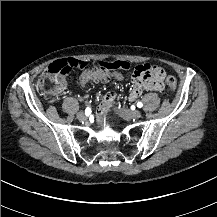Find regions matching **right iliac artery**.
Instances as JSON below:
<instances>
[{
  "mask_svg": "<svg viewBox=\"0 0 217 217\" xmlns=\"http://www.w3.org/2000/svg\"><path fill=\"white\" fill-rule=\"evenodd\" d=\"M91 114V109L89 107L86 108L85 110V115H90Z\"/></svg>",
  "mask_w": 217,
  "mask_h": 217,
  "instance_id": "obj_1",
  "label": "right iliac artery"
}]
</instances>
